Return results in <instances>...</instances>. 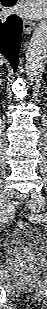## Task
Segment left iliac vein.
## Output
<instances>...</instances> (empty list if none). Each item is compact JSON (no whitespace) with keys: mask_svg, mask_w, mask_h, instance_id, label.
I'll use <instances>...</instances> for the list:
<instances>
[{"mask_svg":"<svg viewBox=\"0 0 47 309\" xmlns=\"http://www.w3.org/2000/svg\"><path fill=\"white\" fill-rule=\"evenodd\" d=\"M31 198L33 200V204L30 206V209L34 213H39L40 210L45 205V199L40 193H31Z\"/></svg>","mask_w":47,"mask_h":309,"instance_id":"1","label":"left iliac vein"}]
</instances>
